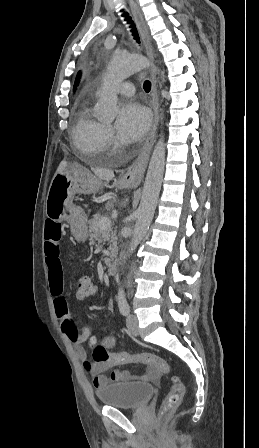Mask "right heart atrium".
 <instances>
[{
    "mask_svg": "<svg viewBox=\"0 0 259 448\" xmlns=\"http://www.w3.org/2000/svg\"><path fill=\"white\" fill-rule=\"evenodd\" d=\"M119 139L109 126H104L102 132V148L104 152H110L119 147Z\"/></svg>",
    "mask_w": 259,
    "mask_h": 448,
    "instance_id": "1",
    "label": "right heart atrium"
}]
</instances>
